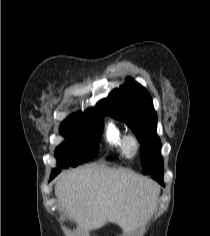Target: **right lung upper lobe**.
Masks as SVG:
<instances>
[{
	"instance_id": "obj_1",
	"label": "right lung upper lobe",
	"mask_w": 210,
	"mask_h": 236,
	"mask_svg": "<svg viewBox=\"0 0 210 236\" xmlns=\"http://www.w3.org/2000/svg\"><path fill=\"white\" fill-rule=\"evenodd\" d=\"M103 101H100L97 106L95 107V109L93 110V112H104V108H103ZM87 113V112H84ZM77 114H82L81 112L77 113Z\"/></svg>"
}]
</instances>
